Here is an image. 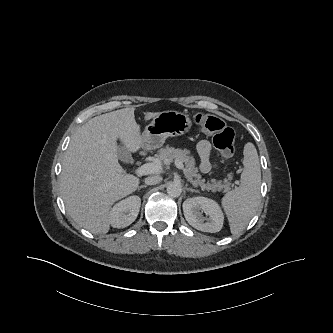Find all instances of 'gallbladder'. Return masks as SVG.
<instances>
[{
    "instance_id": "gallbladder-1",
    "label": "gallbladder",
    "mask_w": 333,
    "mask_h": 333,
    "mask_svg": "<svg viewBox=\"0 0 333 333\" xmlns=\"http://www.w3.org/2000/svg\"><path fill=\"white\" fill-rule=\"evenodd\" d=\"M117 154H118V157L124 162L132 161L131 153L122 143L120 145H118V147H117Z\"/></svg>"
}]
</instances>
